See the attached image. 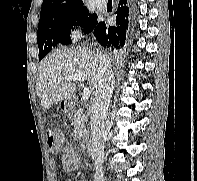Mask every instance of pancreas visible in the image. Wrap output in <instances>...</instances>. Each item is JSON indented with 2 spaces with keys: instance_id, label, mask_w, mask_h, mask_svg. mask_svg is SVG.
Instances as JSON below:
<instances>
[{
  "instance_id": "obj_1",
  "label": "pancreas",
  "mask_w": 197,
  "mask_h": 181,
  "mask_svg": "<svg viewBox=\"0 0 197 181\" xmlns=\"http://www.w3.org/2000/svg\"><path fill=\"white\" fill-rule=\"evenodd\" d=\"M74 125V134L78 140H87L89 139V129L86 126L88 116L84 113L83 110L77 109L73 118Z\"/></svg>"
}]
</instances>
